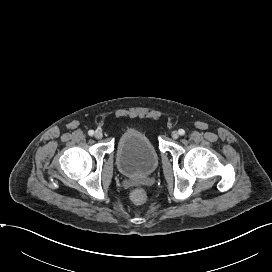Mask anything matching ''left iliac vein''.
<instances>
[{
  "instance_id": "4c4485c4",
  "label": "left iliac vein",
  "mask_w": 272,
  "mask_h": 272,
  "mask_svg": "<svg viewBox=\"0 0 272 272\" xmlns=\"http://www.w3.org/2000/svg\"><path fill=\"white\" fill-rule=\"evenodd\" d=\"M179 137V133L177 131L172 132V138L177 139Z\"/></svg>"
}]
</instances>
